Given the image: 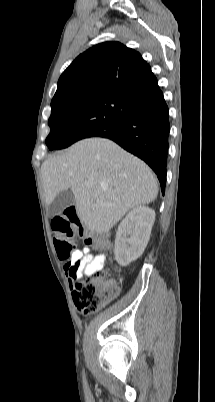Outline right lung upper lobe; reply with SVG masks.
<instances>
[{
	"mask_svg": "<svg viewBox=\"0 0 215 402\" xmlns=\"http://www.w3.org/2000/svg\"><path fill=\"white\" fill-rule=\"evenodd\" d=\"M161 92L142 56L119 42H105L80 54L62 73L52 100L107 93L138 102Z\"/></svg>",
	"mask_w": 215,
	"mask_h": 402,
	"instance_id": "cb5924a9",
	"label": "right lung upper lobe"
}]
</instances>
